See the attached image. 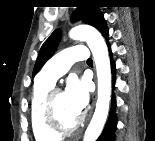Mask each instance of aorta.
<instances>
[{"label": "aorta", "mask_w": 155, "mask_h": 141, "mask_svg": "<svg viewBox=\"0 0 155 141\" xmlns=\"http://www.w3.org/2000/svg\"><path fill=\"white\" fill-rule=\"evenodd\" d=\"M70 38L86 41L94 57L98 78V99L94 115L83 141H96L105 125L111 99V67L106 43L91 26L79 25L71 29Z\"/></svg>", "instance_id": "762f6f07"}]
</instances>
